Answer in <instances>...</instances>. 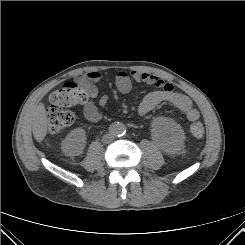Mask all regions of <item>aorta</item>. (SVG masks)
Instances as JSON below:
<instances>
[{
    "instance_id": "obj_1",
    "label": "aorta",
    "mask_w": 245,
    "mask_h": 245,
    "mask_svg": "<svg viewBox=\"0 0 245 245\" xmlns=\"http://www.w3.org/2000/svg\"><path fill=\"white\" fill-rule=\"evenodd\" d=\"M110 130L113 135L121 136L126 132V126L121 122H116L111 125Z\"/></svg>"
}]
</instances>
